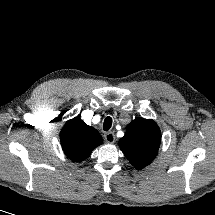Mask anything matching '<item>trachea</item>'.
Here are the masks:
<instances>
[{"label":"trachea","mask_w":215,"mask_h":215,"mask_svg":"<svg viewBox=\"0 0 215 215\" xmlns=\"http://www.w3.org/2000/svg\"><path fill=\"white\" fill-rule=\"evenodd\" d=\"M111 126H112V118L108 116L104 120L103 130L108 131L111 128Z\"/></svg>","instance_id":"obj_1"}]
</instances>
